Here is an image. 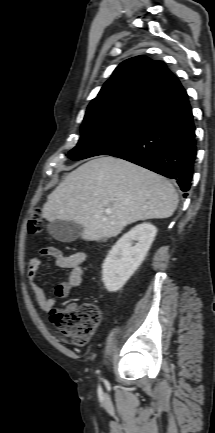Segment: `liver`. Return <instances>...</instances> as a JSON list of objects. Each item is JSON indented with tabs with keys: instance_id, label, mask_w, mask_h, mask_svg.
I'll return each mask as SVG.
<instances>
[{
	"instance_id": "6515ba94",
	"label": "liver",
	"mask_w": 215,
	"mask_h": 433,
	"mask_svg": "<svg viewBox=\"0 0 215 433\" xmlns=\"http://www.w3.org/2000/svg\"><path fill=\"white\" fill-rule=\"evenodd\" d=\"M178 194L165 177L129 161L107 156L92 159L71 173L48 196L42 216L47 221H73L82 239L117 236L139 220L173 215ZM111 213L106 214L105 210Z\"/></svg>"
}]
</instances>
